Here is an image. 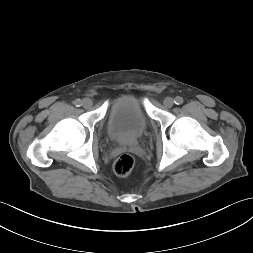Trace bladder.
<instances>
[{"label": "bladder", "mask_w": 253, "mask_h": 253, "mask_svg": "<svg viewBox=\"0 0 253 253\" xmlns=\"http://www.w3.org/2000/svg\"><path fill=\"white\" fill-rule=\"evenodd\" d=\"M147 125L146 115L136 97L123 94L111 102L107 116V132L112 141H135L146 132Z\"/></svg>", "instance_id": "bladder-1"}]
</instances>
